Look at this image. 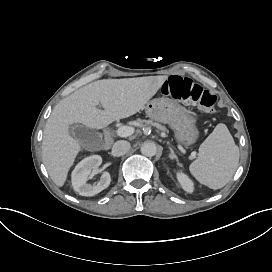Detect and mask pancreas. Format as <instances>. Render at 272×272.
Masks as SVG:
<instances>
[{
  "mask_svg": "<svg viewBox=\"0 0 272 272\" xmlns=\"http://www.w3.org/2000/svg\"><path fill=\"white\" fill-rule=\"evenodd\" d=\"M143 122L145 123V125L155 126V127H157L159 130L165 131V128L162 127L160 124L153 123L152 121H141V123H143Z\"/></svg>",
  "mask_w": 272,
  "mask_h": 272,
  "instance_id": "cf45deb5",
  "label": "pancreas"
}]
</instances>
